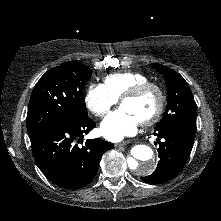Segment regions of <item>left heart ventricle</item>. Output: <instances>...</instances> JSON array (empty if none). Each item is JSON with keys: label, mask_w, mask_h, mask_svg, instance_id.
Listing matches in <instances>:
<instances>
[{"label": "left heart ventricle", "mask_w": 221, "mask_h": 221, "mask_svg": "<svg viewBox=\"0 0 221 221\" xmlns=\"http://www.w3.org/2000/svg\"><path fill=\"white\" fill-rule=\"evenodd\" d=\"M157 104V93L154 90H149L140 97L123 101L121 107L131 112L141 122L155 112Z\"/></svg>", "instance_id": "1"}]
</instances>
